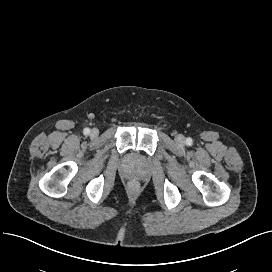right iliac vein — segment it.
Wrapping results in <instances>:
<instances>
[{
    "label": "right iliac vein",
    "instance_id": "63e3f726",
    "mask_svg": "<svg viewBox=\"0 0 272 272\" xmlns=\"http://www.w3.org/2000/svg\"><path fill=\"white\" fill-rule=\"evenodd\" d=\"M98 134H99V132H98L97 129L94 128V129L91 130V136H92V137H97Z\"/></svg>",
    "mask_w": 272,
    "mask_h": 272
}]
</instances>
